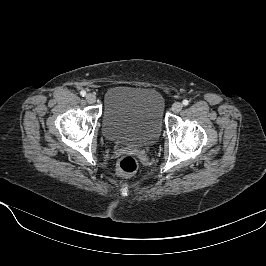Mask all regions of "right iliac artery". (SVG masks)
Here are the masks:
<instances>
[{"label":"right iliac artery","mask_w":266,"mask_h":266,"mask_svg":"<svg viewBox=\"0 0 266 266\" xmlns=\"http://www.w3.org/2000/svg\"><path fill=\"white\" fill-rule=\"evenodd\" d=\"M80 95H81V96H85V95H86V91L82 90V91L80 92Z\"/></svg>","instance_id":"82829eb1"}]
</instances>
